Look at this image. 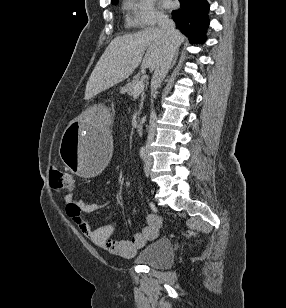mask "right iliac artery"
I'll return each mask as SVG.
<instances>
[{"instance_id":"obj_1","label":"right iliac artery","mask_w":286,"mask_h":308,"mask_svg":"<svg viewBox=\"0 0 286 308\" xmlns=\"http://www.w3.org/2000/svg\"><path fill=\"white\" fill-rule=\"evenodd\" d=\"M140 157L143 161L146 160L147 149L145 147L140 148ZM150 210H153V212H158V207H156L155 203L150 202Z\"/></svg>"}]
</instances>
